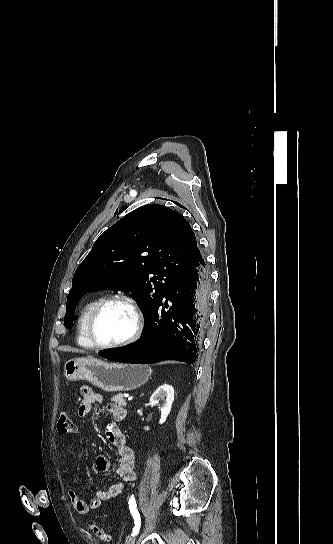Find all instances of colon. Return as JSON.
<instances>
[{"mask_svg":"<svg viewBox=\"0 0 333 544\" xmlns=\"http://www.w3.org/2000/svg\"><path fill=\"white\" fill-rule=\"evenodd\" d=\"M57 430L60 434H69V433H73L75 431V424L72 420V418L66 414V413H63L60 417H59V420H58V423H57ZM89 530L96 536L98 537L99 539L101 540H108L109 539V534L107 532V530L96 524V523H92L89 525Z\"/></svg>","mask_w":333,"mask_h":544,"instance_id":"5ec220e1","label":"colon"}]
</instances>
